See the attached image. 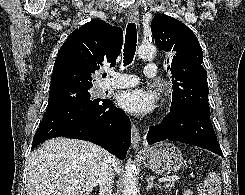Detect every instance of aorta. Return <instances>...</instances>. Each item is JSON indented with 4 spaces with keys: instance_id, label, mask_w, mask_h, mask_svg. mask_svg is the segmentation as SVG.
<instances>
[{
    "instance_id": "obj_1",
    "label": "aorta",
    "mask_w": 245,
    "mask_h": 195,
    "mask_svg": "<svg viewBox=\"0 0 245 195\" xmlns=\"http://www.w3.org/2000/svg\"><path fill=\"white\" fill-rule=\"evenodd\" d=\"M137 53L141 59H151L156 55V48L152 44H142ZM123 195H137L136 167L130 159L125 165Z\"/></svg>"
}]
</instances>
